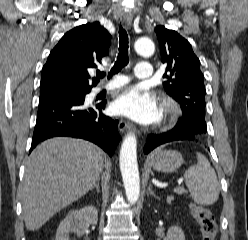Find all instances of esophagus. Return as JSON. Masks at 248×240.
<instances>
[{"instance_id":"34e87169","label":"esophagus","mask_w":248,"mask_h":240,"mask_svg":"<svg viewBox=\"0 0 248 240\" xmlns=\"http://www.w3.org/2000/svg\"><path fill=\"white\" fill-rule=\"evenodd\" d=\"M122 20L124 23V26L126 28H130L132 25V15L130 13H124L122 16ZM118 128L121 132H124L126 130H132L133 125L130 122L120 120L118 124Z\"/></svg>"}]
</instances>
